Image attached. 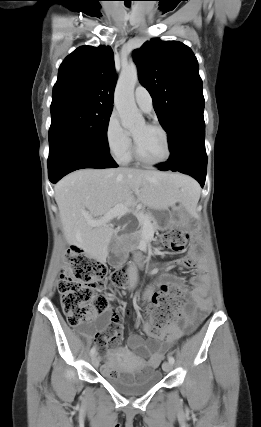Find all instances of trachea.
<instances>
[{
  "label": "trachea",
  "instance_id": "1",
  "mask_svg": "<svg viewBox=\"0 0 261 427\" xmlns=\"http://www.w3.org/2000/svg\"><path fill=\"white\" fill-rule=\"evenodd\" d=\"M125 5H126L127 7H129V6H130V3H125Z\"/></svg>",
  "mask_w": 261,
  "mask_h": 427
}]
</instances>
